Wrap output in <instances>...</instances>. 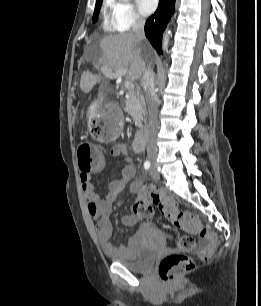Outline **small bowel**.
Listing matches in <instances>:
<instances>
[{
  "instance_id": "1",
  "label": "small bowel",
  "mask_w": 261,
  "mask_h": 306,
  "mask_svg": "<svg viewBox=\"0 0 261 306\" xmlns=\"http://www.w3.org/2000/svg\"><path fill=\"white\" fill-rule=\"evenodd\" d=\"M111 153L117 158L125 157L128 161L130 159L128 148L124 143L115 144L111 149ZM105 167L106 161L103 160L90 170L81 171L79 176L80 185L86 201L87 214L95 222L96 237L103 252L109 256H126L129 254L130 247L134 245L135 240H133L129 246H115L112 244L111 239L114 236L115 228L110 221V215L117 195L121 192L124 185L134 177L135 169L134 166L128 162L122 170L121 178L112 180L108 185V192L102 197L96 193L91 183V177L92 174L101 172ZM130 190L136 195H139L140 183L138 181H133L130 184ZM138 221L139 218L134 214L122 218L123 225L127 227L136 225Z\"/></svg>"
}]
</instances>
